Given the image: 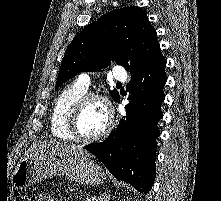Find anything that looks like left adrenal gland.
Wrapping results in <instances>:
<instances>
[{
	"instance_id": "a2214340",
	"label": "left adrenal gland",
	"mask_w": 221,
	"mask_h": 201,
	"mask_svg": "<svg viewBox=\"0 0 221 201\" xmlns=\"http://www.w3.org/2000/svg\"><path fill=\"white\" fill-rule=\"evenodd\" d=\"M110 199V195L107 196L106 194H99L98 199L96 201H108Z\"/></svg>"
}]
</instances>
